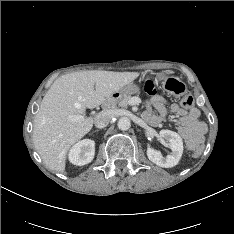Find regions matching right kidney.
Here are the masks:
<instances>
[{
    "instance_id": "1",
    "label": "right kidney",
    "mask_w": 234,
    "mask_h": 234,
    "mask_svg": "<svg viewBox=\"0 0 234 234\" xmlns=\"http://www.w3.org/2000/svg\"><path fill=\"white\" fill-rule=\"evenodd\" d=\"M95 154V142L91 139H84L72 146L69 151V161L78 166L90 163Z\"/></svg>"
}]
</instances>
